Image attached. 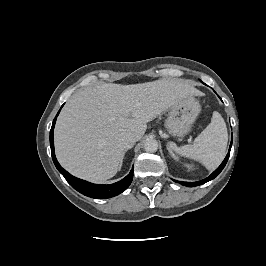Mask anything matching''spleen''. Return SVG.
<instances>
[{
	"instance_id": "1",
	"label": "spleen",
	"mask_w": 266,
	"mask_h": 266,
	"mask_svg": "<svg viewBox=\"0 0 266 266\" xmlns=\"http://www.w3.org/2000/svg\"><path fill=\"white\" fill-rule=\"evenodd\" d=\"M228 141V132L224 119L213 112L210 124L198 135L194 143L171 147L181 156L202 163L208 170L215 169L224 159Z\"/></svg>"
}]
</instances>
